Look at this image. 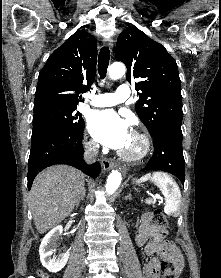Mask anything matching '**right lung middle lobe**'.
Here are the masks:
<instances>
[{
	"label": "right lung middle lobe",
	"mask_w": 221,
	"mask_h": 278,
	"mask_svg": "<svg viewBox=\"0 0 221 278\" xmlns=\"http://www.w3.org/2000/svg\"><path fill=\"white\" fill-rule=\"evenodd\" d=\"M76 105L46 103L34 106L31 141L52 132H75L84 128L82 114Z\"/></svg>",
	"instance_id": "1"
}]
</instances>
